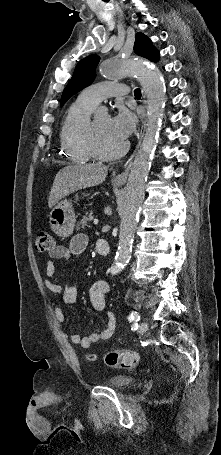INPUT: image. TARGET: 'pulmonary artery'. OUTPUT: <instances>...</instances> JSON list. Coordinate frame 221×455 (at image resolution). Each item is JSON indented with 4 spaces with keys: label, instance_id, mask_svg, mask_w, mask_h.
<instances>
[{
    "label": "pulmonary artery",
    "instance_id": "obj_1",
    "mask_svg": "<svg viewBox=\"0 0 221 455\" xmlns=\"http://www.w3.org/2000/svg\"><path fill=\"white\" fill-rule=\"evenodd\" d=\"M128 91L125 84L105 81L86 87L79 96L83 101L95 107L105 98L126 95Z\"/></svg>",
    "mask_w": 221,
    "mask_h": 455
}]
</instances>
